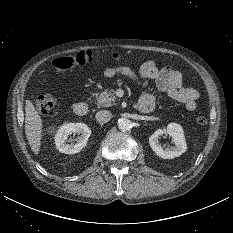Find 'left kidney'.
<instances>
[{
  "instance_id": "left-kidney-1",
  "label": "left kidney",
  "mask_w": 233,
  "mask_h": 233,
  "mask_svg": "<svg viewBox=\"0 0 233 233\" xmlns=\"http://www.w3.org/2000/svg\"><path fill=\"white\" fill-rule=\"evenodd\" d=\"M163 134H168L172 137L175 144L174 147H169L165 149L162 148L161 144L159 143V138ZM149 144L155 154L163 159H173L175 157H179L187 149L183 128L177 123H170L168 124L166 129L156 130L149 137Z\"/></svg>"
}]
</instances>
